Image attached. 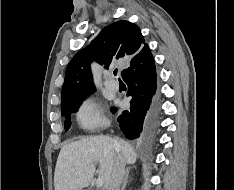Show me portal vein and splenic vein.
I'll list each match as a JSON object with an SVG mask.
<instances>
[{"mask_svg": "<svg viewBox=\"0 0 234 190\" xmlns=\"http://www.w3.org/2000/svg\"><path fill=\"white\" fill-rule=\"evenodd\" d=\"M103 184H104V180L101 177H99L96 180V186L99 187V188H101V187H103Z\"/></svg>", "mask_w": 234, "mask_h": 190, "instance_id": "18ae733b", "label": "portal vein and splenic vein"}]
</instances>
